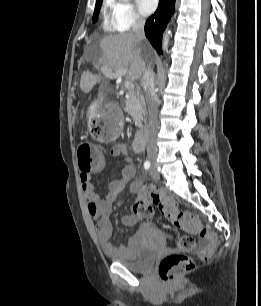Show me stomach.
I'll return each instance as SVG.
<instances>
[{"label":"stomach","mask_w":261,"mask_h":306,"mask_svg":"<svg viewBox=\"0 0 261 306\" xmlns=\"http://www.w3.org/2000/svg\"><path fill=\"white\" fill-rule=\"evenodd\" d=\"M87 116L89 119L90 127L92 128L102 119L106 118V112L100 103H94L89 107Z\"/></svg>","instance_id":"obj_1"}]
</instances>
